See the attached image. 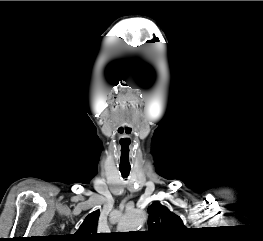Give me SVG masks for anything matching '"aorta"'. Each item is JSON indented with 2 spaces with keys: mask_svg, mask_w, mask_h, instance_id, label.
I'll use <instances>...</instances> for the list:
<instances>
[{
  "mask_svg": "<svg viewBox=\"0 0 263 241\" xmlns=\"http://www.w3.org/2000/svg\"><path fill=\"white\" fill-rule=\"evenodd\" d=\"M146 220V214L140 209H134L127 213L120 221V229L134 231L139 229Z\"/></svg>",
  "mask_w": 263,
  "mask_h": 241,
  "instance_id": "762f6f07",
  "label": "aorta"
}]
</instances>
